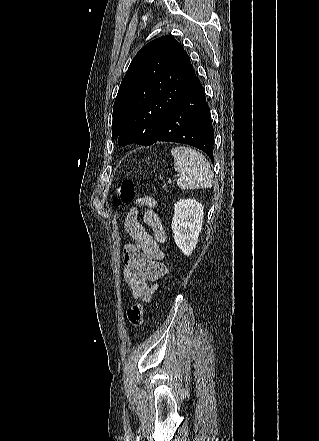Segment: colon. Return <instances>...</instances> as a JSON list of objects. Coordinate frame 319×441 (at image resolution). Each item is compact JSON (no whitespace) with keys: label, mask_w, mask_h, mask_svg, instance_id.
I'll return each mask as SVG.
<instances>
[{"label":"colon","mask_w":319,"mask_h":441,"mask_svg":"<svg viewBox=\"0 0 319 441\" xmlns=\"http://www.w3.org/2000/svg\"><path fill=\"white\" fill-rule=\"evenodd\" d=\"M134 202L136 205L141 203L137 197L134 182L124 180L115 190V197L112 201L115 207ZM144 316V306L140 303L132 305L127 311V317L132 328L136 329L142 326Z\"/></svg>","instance_id":"colon-1"}]
</instances>
